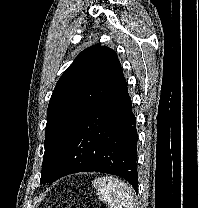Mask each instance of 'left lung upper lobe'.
I'll return each instance as SVG.
<instances>
[{"label":"left lung upper lobe","mask_w":199,"mask_h":208,"mask_svg":"<svg viewBox=\"0 0 199 208\" xmlns=\"http://www.w3.org/2000/svg\"><path fill=\"white\" fill-rule=\"evenodd\" d=\"M124 80L116 53L99 44L83 50L62 74L48 105L41 183L49 181L75 131Z\"/></svg>","instance_id":"5c2ea615"}]
</instances>
